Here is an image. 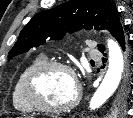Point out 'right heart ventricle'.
Masks as SVG:
<instances>
[{
  "mask_svg": "<svg viewBox=\"0 0 133 118\" xmlns=\"http://www.w3.org/2000/svg\"><path fill=\"white\" fill-rule=\"evenodd\" d=\"M45 62H47L46 56L44 54H40L35 57L28 65H26L19 73L12 89V103L18 112L28 114L35 111V109L26 100L24 93V83L30 72Z\"/></svg>",
  "mask_w": 133,
  "mask_h": 118,
  "instance_id": "e07e8e85",
  "label": "right heart ventricle"
}]
</instances>
